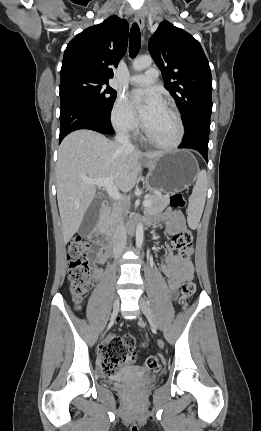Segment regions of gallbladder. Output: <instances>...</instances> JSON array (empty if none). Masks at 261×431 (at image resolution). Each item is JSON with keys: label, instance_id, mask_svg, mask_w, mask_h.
Returning <instances> with one entry per match:
<instances>
[{"label": "gallbladder", "instance_id": "obj_1", "mask_svg": "<svg viewBox=\"0 0 261 431\" xmlns=\"http://www.w3.org/2000/svg\"><path fill=\"white\" fill-rule=\"evenodd\" d=\"M100 207L101 201L100 198L97 197L93 200V202L87 209L81 222V225L79 227V233L81 235L87 236L92 232L99 218Z\"/></svg>", "mask_w": 261, "mask_h": 431}]
</instances>
